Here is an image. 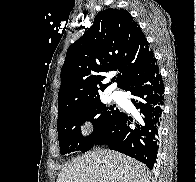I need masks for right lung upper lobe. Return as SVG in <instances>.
Instances as JSON below:
<instances>
[{"label":"right lung upper lobe","mask_w":196,"mask_h":182,"mask_svg":"<svg viewBox=\"0 0 196 182\" xmlns=\"http://www.w3.org/2000/svg\"><path fill=\"white\" fill-rule=\"evenodd\" d=\"M153 51L140 26L123 9H106L94 24L69 46L61 69L58 115L100 97L111 83L104 73L119 70L118 87L144 72L154 60Z\"/></svg>","instance_id":"cb5924a9"}]
</instances>
